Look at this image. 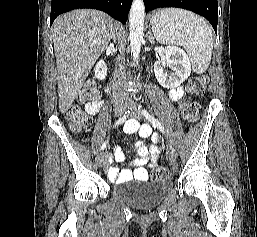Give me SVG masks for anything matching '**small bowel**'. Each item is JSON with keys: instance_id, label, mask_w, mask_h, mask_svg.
Returning a JSON list of instances; mask_svg holds the SVG:
<instances>
[{"instance_id": "obj_1", "label": "small bowel", "mask_w": 257, "mask_h": 237, "mask_svg": "<svg viewBox=\"0 0 257 237\" xmlns=\"http://www.w3.org/2000/svg\"><path fill=\"white\" fill-rule=\"evenodd\" d=\"M184 90L181 87L171 89L169 92L170 98L174 101L180 100L183 97ZM104 106L102 101H94L86 105V110L89 115L97 114ZM124 130L127 133L138 132L141 137H149L151 135V128L148 125H139L135 120H129L124 125ZM153 145L146 146L143 142L139 141L135 144L139 158L134 161L136 168L134 170L123 169L119 170L116 167H109V178L114 183L124 182L130 179L147 180L148 172L144 165L148 162L155 163L156 158L160 153V149L156 145L159 140L152 137ZM124 160V152L121 147L117 146L113 154L109 157V162L116 161L122 162Z\"/></svg>"}]
</instances>
